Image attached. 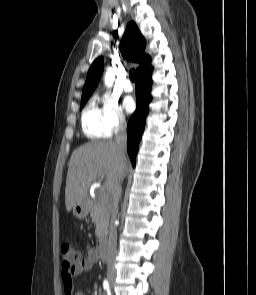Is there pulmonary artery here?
Returning a JSON list of instances; mask_svg holds the SVG:
<instances>
[{
	"mask_svg": "<svg viewBox=\"0 0 256 295\" xmlns=\"http://www.w3.org/2000/svg\"><path fill=\"white\" fill-rule=\"evenodd\" d=\"M125 92H132L133 86L129 80H126L123 86Z\"/></svg>",
	"mask_w": 256,
	"mask_h": 295,
	"instance_id": "e3ab8cb5",
	"label": "pulmonary artery"
}]
</instances>
